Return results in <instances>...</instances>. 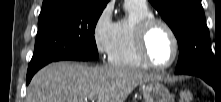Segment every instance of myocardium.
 <instances>
[{"mask_svg": "<svg viewBox=\"0 0 221 102\" xmlns=\"http://www.w3.org/2000/svg\"><path fill=\"white\" fill-rule=\"evenodd\" d=\"M157 26H162L167 30L172 38L174 45L173 57L170 62L164 65L154 63L148 53V38L151 31ZM135 47L137 55L142 63L147 67L156 70H164L171 67L176 62L180 51L179 40L173 28L166 21L157 17L146 18L138 24L135 32Z\"/></svg>", "mask_w": 221, "mask_h": 102, "instance_id": "f54148a6", "label": "myocardium"}]
</instances>
